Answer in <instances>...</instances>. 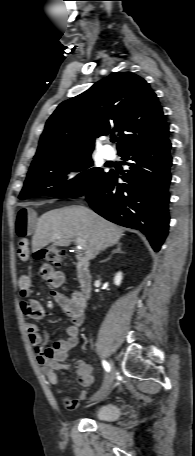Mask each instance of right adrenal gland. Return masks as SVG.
I'll return each instance as SVG.
<instances>
[{"instance_id":"2a0ac1e0","label":"right adrenal gland","mask_w":195,"mask_h":456,"mask_svg":"<svg viewBox=\"0 0 195 456\" xmlns=\"http://www.w3.org/2000/svg\"><path fill=\"white\" fill-rule=\"evenodd\" d=\"M116 246L117 248L112 251L111 255L109 256V258H107V260H109L114 253H123V251L121 250V243H117Z\"/></svg>"}]
</instances>
